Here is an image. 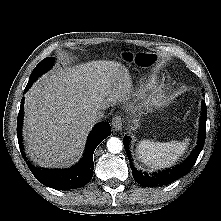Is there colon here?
<instances>
[{
	"label": "colon",
	"mask_w": 221,
	"mask_h": 221,
	"mask_svg": "<svg viewBox=\"0 0 221 221\" xmlns=\"http://www.w3.org/2000/svg\"><path fill=\"white\" fill-rule=\"evenodd\" d=\"M135 61L140 66H148L152 63L153 58L151 55L148 54H138L135 58Z\"/></svg>",
	"instance_id": "colon-1"
}]
</instances>
